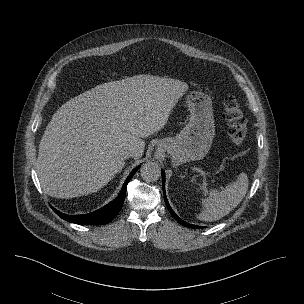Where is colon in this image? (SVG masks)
I'll list each match as a JSON object with an SVG mask.
<instances>
[{
  "label": "colon",
  "mask_w": 304,
  "mask_h": 304,
  "mask_svg": "<svg viewBox=\"0 0 304 304\" xmlns=\"http://www.w3.org/2000/svg\"><path fill=\"white\" fill-rule=\"evenodd\" d=\"M223 116L227 122V134L235 147H241L247 136V122L238 100L228 96L224 100Z\"/></svg>",
  "instance_id": "obj_1"
}]
</instances>
